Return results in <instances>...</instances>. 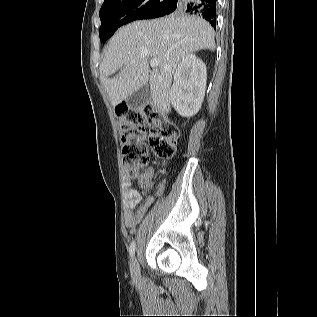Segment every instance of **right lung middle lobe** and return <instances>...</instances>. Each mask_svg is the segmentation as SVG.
<instances>
[{"instance_id": "dd1d6c3e", "label": "right lung middle lobe", "mask_w": 317, "mask_h": 317, "mask_svg": "<svg viewBox=\"0 0 317 317\" xmlns=\"http://www.w3.org/2000/svg\"><path fill=\"white\" fill-rule=\"evenodd\" d=\"M168 0H104L99 12L101 26L99 36L102 43L110 38L122 25L139 19H147L154 10L165 6ZM171 1V0H170ZM185 0H179L157 16L184 10ZM153 15L152 17H154ZM157 18V17H156ZM151 19V18H150Z\"/></svg>"}]
</instances>
